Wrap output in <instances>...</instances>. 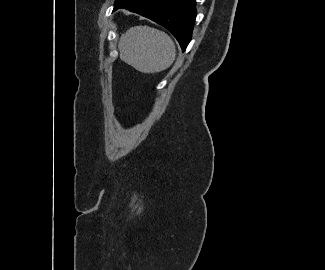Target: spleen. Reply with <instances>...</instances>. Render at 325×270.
<instances>
[{"label": "spleen", "mask_w": 325, "mask_h": 270, "mask_svg": "<svg viewBox=\"0 0 325 270\" xmlns=\"http://www.w3.org/2000/svg\"><path fill=\"white\" fill-rule=\"evenodd\" d=\"M120 58L142 73H157L170 67L176 57L172 39L149 26H135L121 35Z\"/></svg>", "instance_id": "spleen-1"}]
</instances>
